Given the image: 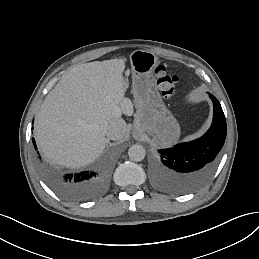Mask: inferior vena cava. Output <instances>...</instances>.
I'll return each instance as SVG.
<instances>
[{
    "label": "inferior vena cava",
    "instance_id": "inferior-vena-cava-1",
    "mask_svg": "<svg viewBox=\"0 0 259 259\" xmlns=\"http://www.w3.org/2000/svg\"><path fill=\"white\" fill-rule=\"evenodd\" d=\"M100 132L110 140L122 139L126 134V123L122 119H114L100 125Z\"/></svg>",
    "mask_w": 259,
    "mask_h": 259
}]
</instances>
